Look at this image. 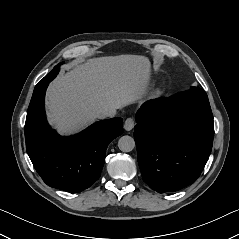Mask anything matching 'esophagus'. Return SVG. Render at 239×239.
Here are the masks:
<instances>
[{"label": "esophagus", "mask_w": 239, "mask_h": 239, "mask_svg": "<svg viewBox=\"0 0 239 239\" xmlns=\"http://www.w3.org/2000/svg\"><path fill=\"white\" fill-rule=\"evenodd\" d=\"M134 128V118L129 117L124 122V129L126 131H131Z\"/></svg>", "instance_id": "34e87169"}]
</instances>
